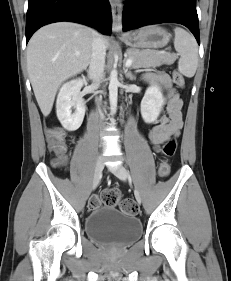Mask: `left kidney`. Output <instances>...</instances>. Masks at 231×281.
<instances>
[{"instance_id":"left-kidney-1","label":"left kidney","mask_w":231,"mask_h":281,"mask_svg":"<svg viewBox=\"0 0 231 281\" xmlns=\"http://www.w3.org/2000/svg\"><path fill=\"white\" fill-rule=\"evenodd\" d=\"M164 104V97L160 87L152 85L147 88L141 101V115L146 123H153L160 115Z\"/></svg>"}]
</instances>
